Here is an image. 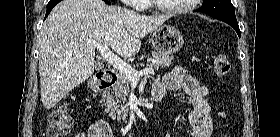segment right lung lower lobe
<instances>
[{"mask_svg": "<svg viewBox=\"0 0 280 137\" xmlns=\"http://www.w3.org/2000/svg\"><path fill=\"white\" fill-rule=\"evenodd\" d=\"M61 0H50L49 3L47 4V11L45 18L49 15L50 11L53 9V7L59 3ZM107 4H111L108 0H103Z\"/></svg>", "mask_w": 280, "mask_h": 137, "instance_id": "right-lung-lower-lobe-1", "label": "right lung lower lobe"}]
</instances>
